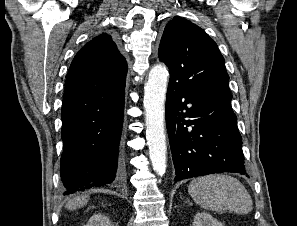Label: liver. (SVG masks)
Masks as SVG:
<instances>
[{"mask_svg": "<svg viewBox=\"0 0 297 226\" xmlns=\"http://www.w3.org/2000/svg\"><path fill=\"white\" fill-rule=\"evenodd\" d=\"M88 200L89 196L87 195L75 197L66 204V208L69 210H75L87 204Z\"/></svg>", "mask_w": 297, "mask_h": 226, "instance_id": "obj_1", "label": "liver"}]
</instances>
